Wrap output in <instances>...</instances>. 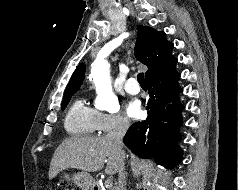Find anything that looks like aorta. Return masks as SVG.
Here are the masks:
<instances>
[{
  "label": "aorta",
  "instance_id": "aorta-1",
  "mask_svg": "<svg viewBox=\"0 0 238 190\" xmlns=\"http://www.w3.org/2000/svg\"><path fill=\"white\" fill-rule=\"evenodd\" d=\"M91 73L98 94L97 107L110 113L118 112L120 106L112 91L109 64L106 61H95Z\"/></svg>",
  "mask_w": 238,
  "mask_h": 190
}]
</instances>
